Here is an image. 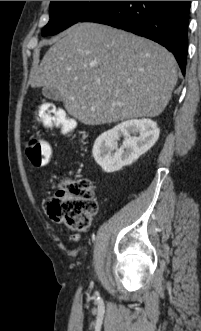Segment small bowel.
Instances as JSON below:
<instances>
[{"label": "small bowel", "mask_w": 201, "mask_h": 331, "mask_svg": "<svg viewBox=\"0 0 201 331\" xmlns=\"http://www.w3.org/2000/svg\"><path fill=\"white\" fill-rule=\"evenodd\" d=\"M73 241H76L78 239V237L76 235L71 237Z\"/></svg>", "instance_id": "small-bowel-1"}]
</instances>
